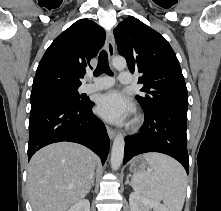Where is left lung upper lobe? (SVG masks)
<instances>
[{
	"label": "left lung upper lobe",
	"mask_w": 221,
	"mask_h": 211,
	"mask_svg": "<svg viewBox=\"0 0 221 211\" xmlns=\"http://www.w3.org/2000/svg\"><path fill=\"white\" fill-rule=\"evenodd\" d=\"M120 55L129 70L142 73L143 95L136 99L144 111L167 106L188 107L187 88L182 71L170 44L161 34L130 16L114 29Z\"/></svg>",
	"instance_id": "5c2ea615"
}]
</instances>
